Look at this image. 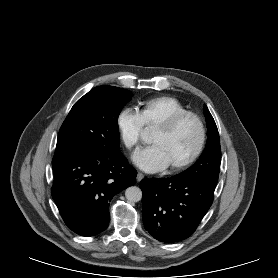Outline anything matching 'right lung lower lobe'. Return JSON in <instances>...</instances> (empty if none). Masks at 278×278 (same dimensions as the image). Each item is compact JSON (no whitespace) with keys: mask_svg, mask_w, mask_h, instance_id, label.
Here are the masks:
<instances>
[{"mask_svg":"<svg viewBox=\"0 0 278 278\" xmlns=\"http://www.w3.org/2000/svg\"><path fill=\"white\" fill-rule=\"evenodd\" d=\"M52 167V197L66 225L81 236L107 228L109 202L132 186L137 174L119 149L53 158Z\"/></svg>","mask_w":278,"mask_h":278,"instance_id":"right-lung-lower-lobe-1","label":"right lung lower lobe"}]
</instances>
